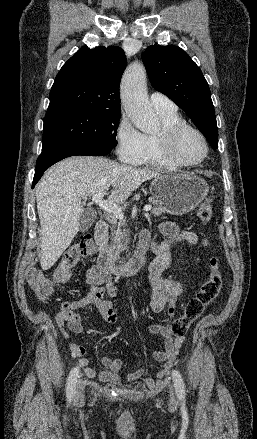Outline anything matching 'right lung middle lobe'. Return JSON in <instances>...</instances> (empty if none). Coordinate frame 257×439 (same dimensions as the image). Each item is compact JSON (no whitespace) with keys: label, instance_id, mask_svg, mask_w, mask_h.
<instances>
[{"label":"right lung middle lobe","instance_id":"right-lung-middle-lobe-1","mask_svg":"<svg viewBox=\"0 0 257 439\" xmlns=\"http://www.w3.org/2000/svg\"><path fill=\"white\" fill-rule=\"evenodd\" d=\"M121 111L80 109L44 118L42 152L62 146L113 149Z\"/></svg>","mask_w":257,"mask_h":439}]
</instances>
